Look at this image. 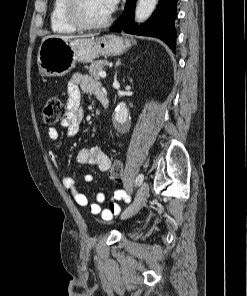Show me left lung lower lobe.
<instances>
[{"label":"left lung lower lobe","mask_w":247,"mask_h":296,"mask_svg":"<svg viewBox=\"0 0 247 296\" xmlns=\"http://www.w3.org/2000/svg\"><path fill=\"white\" fill-rule=\"evenodd\" d=\"M178 0H159L157 8L151 18L143 25H136L133 21L136 0H126L125 9L118 22L109 30L156 37L164 41L175 52L176 31L174 21L177 16L176 3Z\"/></svg>","instance_id":"0a47b994"}]
</instances>
